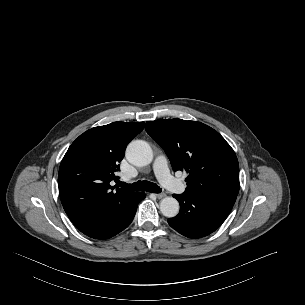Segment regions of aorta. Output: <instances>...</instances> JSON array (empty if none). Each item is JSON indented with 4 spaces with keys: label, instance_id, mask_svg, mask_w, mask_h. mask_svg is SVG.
I'll return each instance as SVG.
<instances>
[{
    "label": "aorta",
    "instance_id": "1",
    "mask_svg": "<svg viewBox=\"0 0 305 305\" xmlns=\"http://www.w3.org/2000/svg\"><path fill=\"white\" fill-rule=\"evenodd\" d=\"M126 158L133 165L146 166L153 160V151L146 141L134 140L126 149ZM160 211L165 217H175L179 212V203L173 197H165L160 201Z\"/></svg>",
    "mask_w": 305,
    "mask_h": 305
}]
</instances>
